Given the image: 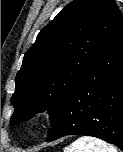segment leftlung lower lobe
<instances>
[{
	"mask_svg": "<svg viewBox=\"0 0 123 152\" xmlns=\"http://www.w3.org/2000/svg\"><path fill=\"white\" fill-rule=\"evenodd\" d=\"M88 135L123 150V17L63 100L46 141Z\"/></svg>",
	"mask_w": 123,
	"mask_h": 152,
	"instance_id": "left-lung-lower-lobe-1",
	"label": "left lung lower lobe"
}]
</instances>
